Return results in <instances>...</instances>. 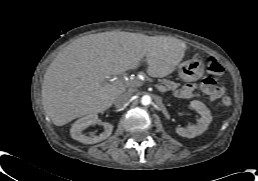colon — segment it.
Here are the masks:
<instances>
[{
	"mask_svg": "<svg viewBox=\"0 0 258 181\" xmlns=\"http://www.w3.org/2000/svg\"><path fill=\"white\" fill-rule=\"evenodd\" d=\"M207 69L210 73L215 75H221L224 72V68L222 67V65L213 58H209L207 60ZM222 104L225 107H229L232 104V99L228 95V93H226L222 98Z\"/></svg>",
	"mask_w": 258,
	"mask_h": 181,
	"instance_id": "5ec220e1",
	"label": "colon"
}]
</instances>
